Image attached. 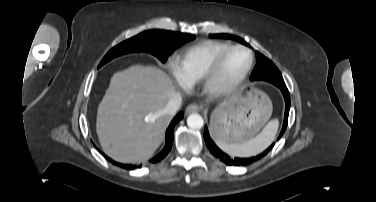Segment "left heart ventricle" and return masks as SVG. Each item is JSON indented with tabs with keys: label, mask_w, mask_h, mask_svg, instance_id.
<instances>
[{
	"label": "left heart ventricle",
	"mask_w": 376,
	"mask_h": 202,
	"mask_svg": "<svg viewBox=\"0 0 376 202\" xmlns=\"http://www.w3.org/2000/svg\"><path fill=\"white\" fill-rule=\"evenodd\" d=\"M249 62V55L246 51L235 50L226 58L220 71L218 82L227 84L235 80L246 68Z\"/></svg>",
	"instance_id": "b2bd125f"
}]
</instances>
